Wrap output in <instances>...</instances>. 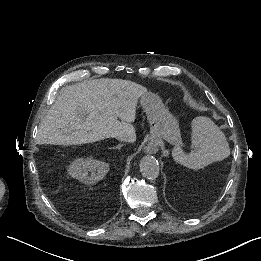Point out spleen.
<instances>
[{"instance_id":"obj_1","label":"spleen","mask_w":261,"mask_h":261,"mask_svg":"<svg viewBox=\"0 0 261 261\" xmlns=\"http://www.w3.org/2000/svg\"><path fill=\"white\" fill-rule=\"evenodd\" d=\"M190 128L191 151L182 152L178 163L190 169H201L229 156L230 150L225 135L210 119L194 118Z\"/></svg>"}]
</instances>
